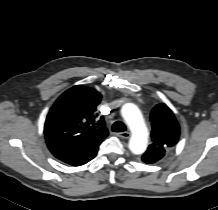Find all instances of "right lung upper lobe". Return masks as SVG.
<instances>
[{"label": "right lung upper lobe", "instance_id": "1", "mask_svg": "<svg viewBox=\"0 0 218 210\" xmlns=\"http://www.w3.org/2000/svg\"><path fill=\"white\" fill-rule=\"evenodd\" d=\"M101 94L76 85L65 91L51 107L44 126L46 141L81 148L98 147L108 135L103 117L95 113Z\"/></svg>", "mask_w": 218, "mask_h": 210}]
</instances>
